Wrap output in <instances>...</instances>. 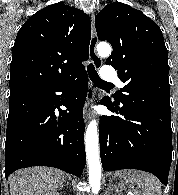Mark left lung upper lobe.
Here are the masks:
<instances>
[{
	"label": "left lung upper lobe",
	"mask_w": 178,
	"mask_h": 195,
	"mask_svg": "<svg viewBox=\"0 0 178 195\" xmlns=\"http://www.w3.org/2000/svg\"><path fill=\"white\" fill-rule=\"evenodd\" d=\"M98 39L113 47L107 65L118 70L126 85L116 102L150 103L171 109L168 51L156 23L124 3H109L95 17Z\"/></svg>",
	"instance_id": "1"
}]
</instances>
